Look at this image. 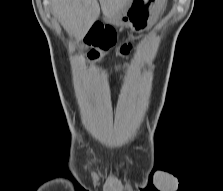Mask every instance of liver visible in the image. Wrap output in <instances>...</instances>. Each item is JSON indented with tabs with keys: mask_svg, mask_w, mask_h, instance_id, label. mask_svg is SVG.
Listing matches in <instances>:
<instances>
[{
	"mask_svg": "<svg viewBox=\"0 0 223 191\" xmlns=\"http://www.w3.org/2000/svg\"><path fill=\"white\" fill-rule=\"evenodd\" d=\"M104 15L113 17L131 0H99ZM52 13L68 33L83 36L98 19L100 6L97 0H51Z\"/></svg>",
	"mask_w": 223,
	"mask_h": 191,
	"instance_id": "1",
	"label": "liver"
}]
</instances>
